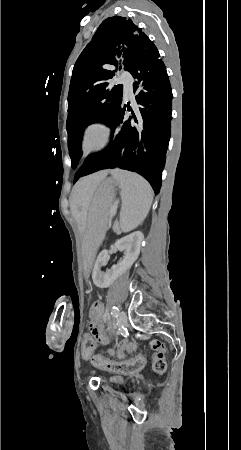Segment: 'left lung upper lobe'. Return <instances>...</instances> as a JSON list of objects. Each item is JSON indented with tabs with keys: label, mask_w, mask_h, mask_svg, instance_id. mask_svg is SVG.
Listing matches in <instances>:
<instances>
[{
	"label": "left lung upper lobe",
	"mask_w": 241,
	"mask_h": 450,
	"mask_svg": "<svg viewBox=\"0 0 241 450\" xmlns=\"http://www.w3.org/2000/svg\"><path fill=\"white\" fill-rule=\"evenodd\" d=\"M153 42L130 19L114 16L104 20L78 57L68 94L67 132L72 167L82 155L81 136L93 122L108 123L122 103L123 86L109 83L115 71L107 66L124 65L153 47Z\"/></svg>",
	"instance_id": "1"
}]
</instances>
